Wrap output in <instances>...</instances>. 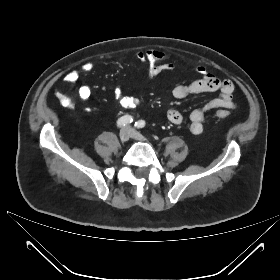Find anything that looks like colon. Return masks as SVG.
Listing matches in <instances>:
<instances>
[{
  "label": "colon",
  "instance_id": "5ec220e1",
  "mask_svg": "<svg viewBox=\"0 0 280 280\" xmlns=\"http://www.w3.org/2000/svg\"><path fill=\"white\" fill-rule=\"evenodd\" d=\"M61 101L63 103H69V102H71V96L64 95V96L61 97ZM216 115H217L218 118H226L228 116L227 113H225V112H217Z\"/></svg>",
  "mask_w": 280,
  "mask_h": 280
}]
</instances>
